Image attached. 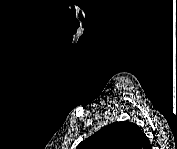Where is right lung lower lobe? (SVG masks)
<instances>
[{"label": "right lung lower lobe", "mask_w": 177, "mask_h": 149, "mask_svg": "<svg viewBox=\"0 0 177 149\" xmlns=\"http://www.w3.org/2000/svg\"><path fill=\"white\" fill-rule=\"evenodd\" d=\"M144 141H145V146H147V148L150 147V141L147 137H145Z\"/></svg>", "instance_id": "98d812e1"}]
</instances>
